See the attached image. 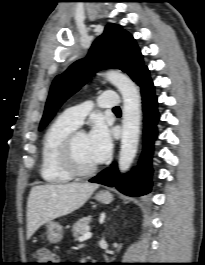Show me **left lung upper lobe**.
<instances>
[{"label":"left lung upper lobe","instance_id":"obj_1","mask_svg":"<svg viewBox=\"0 0 205 265\" xmlns=\"http://www.w3.org/2000/svg\"><path fill=\"white\" fill-rule=\"evenodd\" d=\"M107 68L126 72L134 82L146 68L134 38L117 24H108L104 33L92 44L88 56L73 63L54 79L39 130L50 122L71 95L88 82L91 75Z\"/></svg>","mask_w":205,"mask_h":265}]
</instances>
